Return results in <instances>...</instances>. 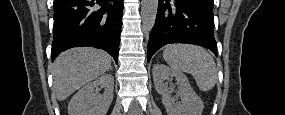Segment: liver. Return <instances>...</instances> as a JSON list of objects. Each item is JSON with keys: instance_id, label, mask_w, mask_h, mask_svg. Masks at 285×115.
<instances>
[{"instance_id": "obj_1", "label": "liver", "mask_w": 285, "mask_h": 115, "mask_svg": "<svg viewBox=\"0 0 285 115\" xmlns=\"http://www.w3.org/2000/svg\"><path fill=\"white\" fill-rule=\"evenodd\" d=\"M111 68V57L94 48H74L61 53L53 63V89L59 101Z\"/></svg>"}]
</instances>
